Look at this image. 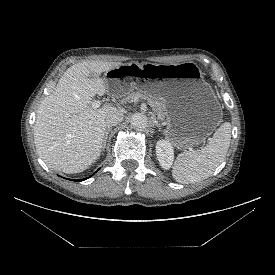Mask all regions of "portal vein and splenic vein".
<instances>
[{
    "label": "portal vein and splenic vein",
    "mask_w": 275,
    "mask_h": 275,
    "mask_svg": "<svg viewBox=\"0 0 275 275\" xmlns=\"http://www.w3.org/2000/svg\"><path fill=\"white\" fill-rule=\"evenodd\" d=\"M100 102L99 101H94L93 103H92V107L93 108H98L99 106H100ZM189 151H193V149L192 148H189Z\"/></svg>",
    "instance_id": "1"
}]
</instances>
